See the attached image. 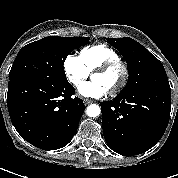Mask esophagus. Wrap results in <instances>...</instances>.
<instances>
[{"label":"esophagus","instance_id":"34e87169","mask_svg":"<svg viewBox=\"0 0 178 178\" xmlns=\"http://www.w3.org/2000/svg\"><path fill=\"white\" fill-rule=\"evenodd\" d=\"M93 101L91 99H84V104L88 105L90 103H92Z\"/></svg>","mask_w":178,"mask_h":178}]
</instances>
